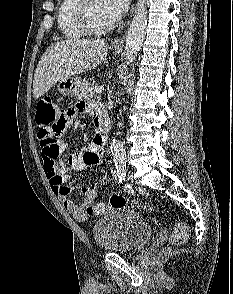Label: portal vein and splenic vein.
<instances>
[{
	"label": "portal vein and splenic vein",
	"mask_w": 233,
	"mask_h": 294,
	"mask_svg": "<svg viewBox=\"0 0 233 294\" xmlns=\"http://www.w3.org/2000/svg\"><path fill=\"white\" fill-rule=\"evenodd\" d=\"M103 90H104V87H103V86H99V87H97V88L95 89V92H96L97 94H101V93L103 92Z\"/></svg>",
	"instance_id": "18ae733b"
}]
</instances>
